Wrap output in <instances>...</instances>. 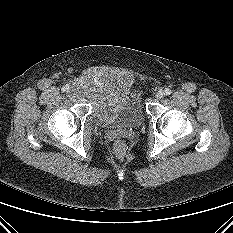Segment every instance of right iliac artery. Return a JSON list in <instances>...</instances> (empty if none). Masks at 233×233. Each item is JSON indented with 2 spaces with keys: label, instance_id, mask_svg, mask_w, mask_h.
Listing matches in <instances>:
<instances>
[{
  "label": "right iliac artery",
  "instance_id": "obj_1",
  "mask_svg": "<svg viewBox=\"0 0 233 233\" xmlns=\"http://www.w3.org/2000/svg\"><path fill=\"white\" fill-rule=\"evenodd\" d=\"M68 89H69V86H68V85H65V86L62 87V91H63V92L66 91V90H68Z\"/></svg>",
  "mask_w": 233,
  "mask_h": 233
}]
</instances>
